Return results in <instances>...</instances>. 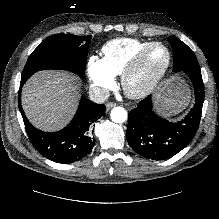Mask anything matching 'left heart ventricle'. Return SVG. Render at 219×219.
I'll return each instance as SVG.
<instances>
[{
  "instance_id": "obj_1",
  "label": "left heart ventricle",
  "mask_w": 219,
  "mask_h": 219,
  "mask_svg": "<svg viewBox=\"0 0 219 219\" xmlns=\"http://www.w3.org/2000/svg\"><path fill=\"white\" fill-rule=\"evenodd\" d=\"M165 61V53L161 48L151 51L133 78L135 85L144 83Z\"/></svg>"
}]
</instances>
